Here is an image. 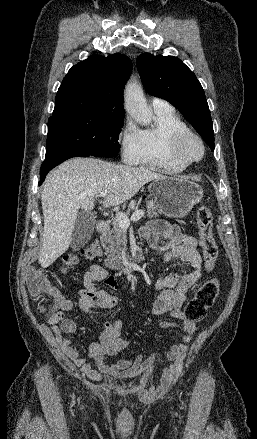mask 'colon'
Masks as SVG:
<instances>
[{
    "instance_id": "5ec220e1",
    "label": "colon",
    "mask_w": 257,
    "mask_h": 439,
    "mask_svg": "<svg viewBox=\"0 0 257 439\" xmlns=\"http://www.w3.org/2000/svg\"><path fill=\"white\" fill-rule=\"evenodd\" d=\"M196 223L199 235V243L203 251L205 264L208 270L214 268L218 258V247L213 235V216L207 206H202L197 211ZM101 253L97 241L90 242L81 250V254L87 258H95ZM78 261L76 254H69L65 257L66 266H72ZM27 286L33 297L38 300L54 298L56 289L53 287L47 276L39 269L32 268L27 274ZM219 293V281L211 278L205 281L196 291L183 311L184 323H196L202 320L207 310L214 303ZM42 309L48 311L49 307L43 305Z\"/></svg>"
}]
</instances>
